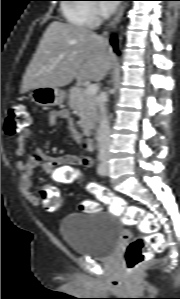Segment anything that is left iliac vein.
Segmentation results:
<instances>
[{
	"mask_svg": "<svg viewBox=\"0 0 180 299\" xmlns=\"http://www.w3.org/2000/svg\"><path fill=\"white\" fill-rule=\"evenodd\" d=\"M105 173H106V174L109 173V165H108L107 162L105 163Z\"/></svg>",
	"mask_w": 180,
	"mask_h": 299,
	"instance_id": "4c4485c4",
	"label": "left iliac vein"
}]
</instances>
